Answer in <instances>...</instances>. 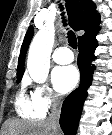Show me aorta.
<instances>
[{"instance_id": "aorta-1", "label": "aorta", "mask_w": 112, "mask_h": 135, "mask_svg": "<svg viewBox=\"0 0 112 135\" xmlns=\"http://www.w3.org/2000/svg\"><path fill=\"white\" fill-rule=\"evenodd\" d=\"M54 38V28L46 27L37 32L30 45L27 70L36 83L43 84L47 80Z\"/></svg>"}]
</instances>
